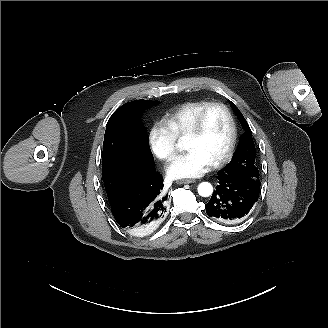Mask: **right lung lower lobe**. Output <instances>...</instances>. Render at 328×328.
Wrapping results in <instances>:
<instances>
[{"mask_svg":"<svg viewBox=\"0 0 328 328\" xmlns=\"http://www.w3.org/2000/svg\"><path fill=\"white\" fill-rule=\"evenodd\" d=\"M163 177L155 165L141 177L129 179L109 201L112 214L120 227L136 235H146L164 217L168 193Z\"/></svg>","mask_w":328,"mask_h":328,"instance_id":"right-lung-lower-lobe-1","label":"right lung lower lobe"}]
</instances>
